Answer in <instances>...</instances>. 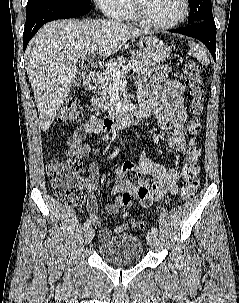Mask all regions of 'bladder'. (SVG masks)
<instances>
[{
  "label": "bladder",
  "instance_id": "31cf9c89",
  "mask_svg": "<svg viewBox=\"0 0 239 303\" xmlns=\"http://www.w3.org/2000/svg\"><path fill=\"white\" fill-rule=\"evenodd\" d=\"M98 253L102 258L116 265L134 264L143 256V241L132 234H118L108 242L100 243Z\"/></svg>",
  "mask_w": 239,
  "mask_h": 303
}]
</instances>
